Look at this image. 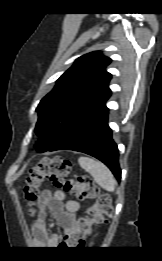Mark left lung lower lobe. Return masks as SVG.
I'll use <instances>...</instances> for the list:
<instances>
[{
    "label": "left lung lower lobe",
    "instance_id": "0a47b994",
    "mask_svg": "<svg viewBox=\"0 0 162 261\" xmlns=\"http://www.w3.org/2000/svg\"><path fill=\"white\" fill-rule=\"evenodd\" d=\"M48 150H74L89 154L107 165L118 181L121 179L119 151L108 125L106 106Z\"/></svg>",
    "mask_w": 162,
    "mask_h": 261
}]
</instances>
